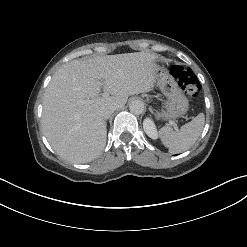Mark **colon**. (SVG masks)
I'll return each mask as SVG.
<instances>
[{
	"label": "colon",
	"instance_id": "1",
	"mask_svg": "<svg viewBox=\"0 0 247 247\" xmlns=\"http://www.w3.org/2000/svg\"><path fill=\"white\" fill-rule=\"evenodd\" d=\"M171 74L188 96L193 99L199 96L201 86L198 78L191 69L174 65L171 68Z\"/></svg>",
	"mask_w": 247,
	"mask_h": 247
}]
</instances>
